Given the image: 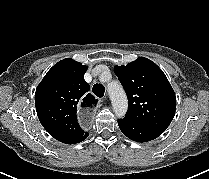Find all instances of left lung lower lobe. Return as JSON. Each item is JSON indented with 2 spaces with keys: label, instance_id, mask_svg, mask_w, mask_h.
Segmentation results:
<instances>
[{
  "label": "left lung lower lobe",
  "instance_id": "obj_1",
  "mask_svg": "<svg viewBox=\"0 0 209 179\" xmlns=\"http://www.w3.org/2000/svg\"><path fill=\"white\" fill-rule=\"evenodd\" d=\"M118 125L122 133L136 142H147L160 136L163 132L140 125L129 119H119Z\"/></svg>",
  "mask_w": 209,
  "mask_h": 179
}]
</instances>
